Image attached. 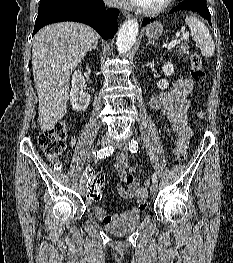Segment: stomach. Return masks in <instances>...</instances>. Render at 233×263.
Segmentation results:
<instances>
[{
  "instance_id": "1",
  "label": "stomach",
  "mask_w": 233,
  "mask_h": 263,
  "mask_svg": "<svg viewBox=\"0 0 233 263\" xmlns=\"http://www.w3.org/2000/svg\"><path fill=\"white\" fill-rule=\"evenodd\" d=\"M145 33L149 39H158L163 33V26L159 21H155L146 27Z\"/></svg>"
}]
</instances>
